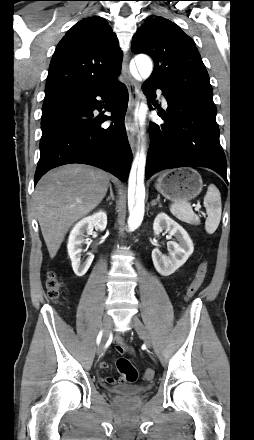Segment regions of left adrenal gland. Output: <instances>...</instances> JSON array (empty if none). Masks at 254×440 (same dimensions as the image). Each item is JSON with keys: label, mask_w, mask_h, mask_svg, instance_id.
<instances>
[{"label": "left adrenal gland", "mask_w": 254, "mask_h": 440, "mask_svg": "<svg viewBox=\"0 0 254 440\" xmlns=\"http://www.w3.org/2000/svg\"><path fill=\"white\" fill-rule=\"evenodd\" d=\"M157 204L159 205V207H162V204L160 202V195H158L157 198L151 202V206H155Z\"/></svg>", "instance_id": "left-adrenal-gland-1"}]
</instances>
